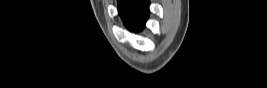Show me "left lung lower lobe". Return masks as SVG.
<instances>
[{
    "label": "left lung lower lobe",
    "instance_id": "left-lung-lower-lobe-1",
    "mask_svg": "<svg viewBox=\"0 0 267 88\" xmlns=\"http://www.w3.org/2000/svg\"><path fill=\"white\" fill-rule=\"evenodd\" d=\"M118 5L125 24L131 29L140 30L147 16L146 5L133 0H120Z\"/></svg>",
    "mask_w": 267,
    "mask_h": 88
}]
</instances>
